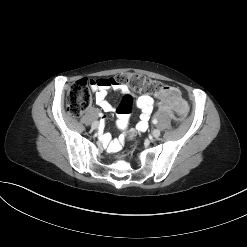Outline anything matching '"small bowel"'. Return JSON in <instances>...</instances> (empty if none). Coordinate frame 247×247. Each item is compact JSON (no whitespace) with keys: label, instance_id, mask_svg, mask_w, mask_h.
Here are the masks:
<instances>
[{"label":"small bowel","instance_id":"obj_1","mask_svg":"<svg viewBox=\"0 0 247 247\" xmlns=\"http://www.w3.org/2000/svg\"><path fill=\"white\" fill-rule=\"evenodd\" d=\"M99 83L92 86L95 92L96 104L105 112H111L113 106L107 101V95L110 90L118 91L122 94L129 93L128 87L123 84H118L112 79H98ZM136 106L141 110L140 121L137 124L139 131H145L148 128L150 116L153 111L154 100L147 94L140 95L136 99ZM104 142L111 150H116L120 147V141H111L109 137L104 138Z\"/></svg>","mask_w":247,"mask_h":247}]
</instances>
